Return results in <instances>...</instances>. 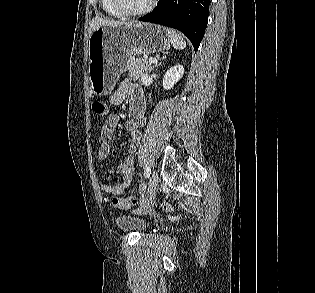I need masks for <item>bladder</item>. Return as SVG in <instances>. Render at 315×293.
<instances>
[{"label": "bladder", "mask_w": 315, "mask_h": 293, "mask_svg": "<svg viewBox=\"0 0 315 293\" xmlns=\"http://www.w3.org/2000/svg\"><path fill=\"white\" fill-rule=\"evenodd\" d=\"M117 226L123 231L143 232L147 228L146 222L138 217L123 214L116 217Z\"/></svg>", "instance_id": "1"}]
</instances>
